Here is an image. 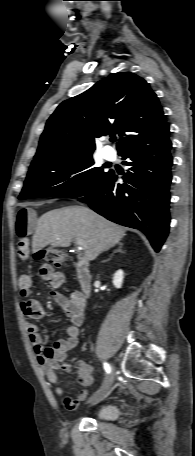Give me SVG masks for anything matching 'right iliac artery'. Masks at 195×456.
<instances>
[{"label":"right iliac artery","mask_w":195,"mask_h":456,"mask_svg":"<svg viewBox=\"0 0 195 456\" xmlns=\"http://www.w3.org/2000/svg\"><path fill=\"white\" fill-rule=\"evenodd\" d=\"M104 369H105V371H106L108 374L111 372V367H110V365H109L108 363H106V362L104 363Z\"/></svg>","instance_id":"1"}]
</instances>
